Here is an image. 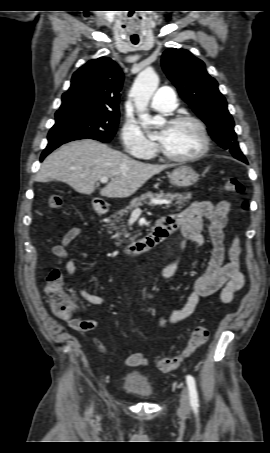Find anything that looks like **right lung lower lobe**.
<instances>
[{
    "mask_svg": "<svg viewBox=\"0 0 270 453\" xmlns=\"http://www.w3.org/2000/svg\"><path fill=\"white\" fill-rule=\"evenodd\" d=\"M62 144H63L62 142H49L47 147L42 152L40 161H42L50 152H52L54 149H56Z\"/></svg>",
    "mask_w": 270,
    "mask_h": 453,
    "instance_id": "obj_1",
    "label": "right lung lower lobe"
}]
</instances>
